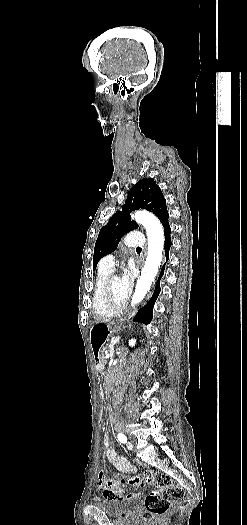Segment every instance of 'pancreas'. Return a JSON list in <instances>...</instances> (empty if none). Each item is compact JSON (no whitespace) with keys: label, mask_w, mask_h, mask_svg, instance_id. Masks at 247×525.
Masks as SVG:
<instances>
[{"label":"pancreas","mask_w":247,"mask_h":525,"mask_svg":"<svg viewBox=\"0 0 247 525\" xmlns=\"http://www.w3.org/2000/svg\"><path fill=\"white\" fill-rule=\"evenodd\" d=\"M106 353H108V350L106 348H103L100 352V355L98 356V359L100 361L106 360Z\"/></svg>","instance_id":"obj_1"}]
</instances>
